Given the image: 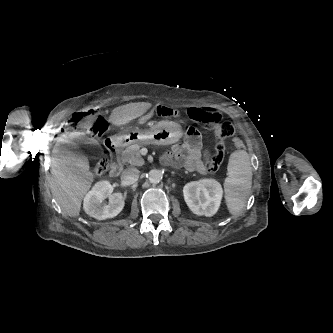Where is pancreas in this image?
I'll return each instance as SVG.
<instances>
[{"label":"pancreas","mask_w":333,"mask_h":333,"mask_svg":"<svg viewBox=\"0 0 333 333\" xmlns=\"http://www.w3.org/2000/svg\"><path fill=\"white\" fill-rule=\"evenodd\" d=\"M144 144H133L127 147L122 154L123 162H127L133 166H141L144 164V160L141 155V148Z\"/></svg>","instance_id":"obj_1"}]
</instances>
